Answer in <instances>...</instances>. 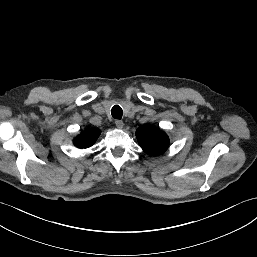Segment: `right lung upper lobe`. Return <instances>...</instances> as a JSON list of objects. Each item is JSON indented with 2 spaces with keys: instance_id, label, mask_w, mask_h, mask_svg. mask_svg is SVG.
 <instances>
[{
  "instance_id": "1",
  "label": "right lung upper lobe",
  "mask_w": 257,
  "mask_h": 257,
  "mask_svg": "<svg viewBox=\"0 0 257 257\" xmlns=\"http://www.w3.org/2000/svg\"><path fill=\"white\" fill-rule=\"evenodd\" d=\"M100 133L98 129H87L74 139V145L78 148H88L95 143Z\"/></svg>"
}]
</instances>
